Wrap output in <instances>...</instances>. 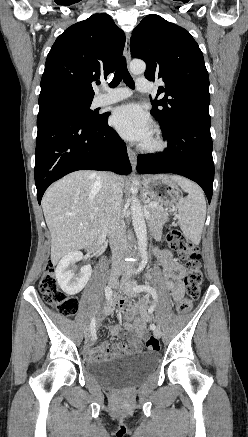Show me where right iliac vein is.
Masks as SVG:
<instances>
[{
    "instance_id": "right-iliac-vein-1",
    "label": "right iliac vein",
    "mask_w": 248,
    "mask_h": 437,
    "mask_svg": "<svg viewBox=\"0 0 248 437\" xmlns=\"http://www.w3.org/2000/svg\"><path fill=\"white\" fill-rule=\"evenodd\" d=\"M116 284H117V276L111 275L109 278V285L114 288L116 286ZM84 336L86 338H88L90 336V328L85 329Z\"/></svg>"
}]
</instances>
